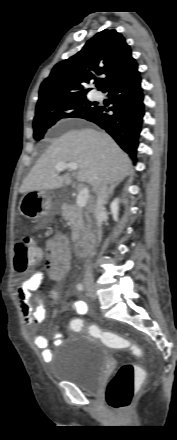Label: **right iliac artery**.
I'll list each match as a JSON object with an SVG mask.
<instances>
[{
	"label": "right iliac artery",
	"mask_w": 177,
	"mask_h": 440,
	"mask_svg": "<svg viewBox=\"0 0 177 440\" xmlns=\"http://www.w3.org/2000/svg\"><path fill=\"white\" fill-rule=\"evenodd\" d=\"M77 290L83 291L84 290L83 285L82 284H77Z\"/></svg>",
	"instance_id": "right-iliac-artery-1"
}]
</instances>
